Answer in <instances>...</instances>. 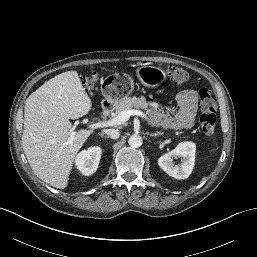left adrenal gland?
<instances>
[{
  "instance_id": "a2214340",
  "label": "left adrenal gland",
  "mask_w": 257,
  "mask_h": 257,
  "mask_svg": "<svg viewBox=\"0 0 257 257\" xmlns=\"http://www.w3.org/2000/svg\"><path fill=\"white\" fill-rule=\"evenodd\" d=\"M163 134H164L163 132H157V133L151 134L150 136L155 137V136L163 135Z\"/></svg>"
}]
</instances>
